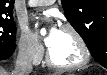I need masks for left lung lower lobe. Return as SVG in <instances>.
Segmentation results:
<instances>
[{
  "instance_id": "1",
  "label": "left lung lower lobe",
  "mask_w": 107,
  "mask_h": 75,
  "mask_svg": "<svg viewBox=\"0 0 107 75\" xmlns=\"http://www.w3.org/2000/svg\"><path fill=\"white\" fill-rule=\"evenodd\" d=\"M106 48L105 46H102L98 49L96 53H94L92 56L95 58L96 61H98L102 66L106 65L107 66V53H106Z\"/></svg>"
}]
</instances>
